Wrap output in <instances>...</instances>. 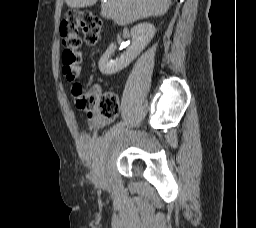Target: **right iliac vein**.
Masks as SVG:
<instances>
[{
  "mask_svg": "<svg viewBox=\"0 0 256 228\" xmlns=\"http://www.w3.org/2000/svg\"><path fill=\"white\" fill-rule=\"evenodd\" d=\"M125 130H126L125 126H122L121 129H116L114 138H117V136H119L122 133V131H125Z\"/></svg>",
  "mask_w": 256,
  "mask_h": 228,
  "instance_id": "obj_1",
  "label": "right iliac vein"
}]
</instances>
